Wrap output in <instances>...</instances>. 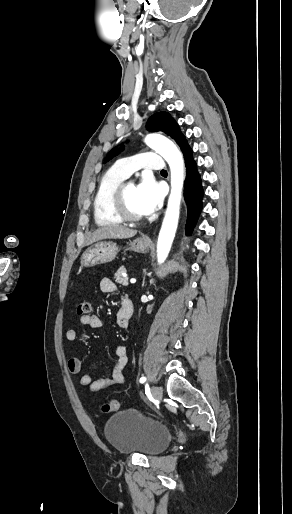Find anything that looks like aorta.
<instances>
[{
  "label": "aorta",
  "instance_id": "aorta-1",
  "mask_svg": "<svg viewBox=\"0 0 292 514\" xmlns=\"http://www.w3.org/2000/svg\"><path fill=\"white\" fill-rule=\"evenodd\" d=\"M144 142L151 150H155L156 154H160V156L166 160L171 172V194L157 242L158 262L159 264H163L171 250L178 226L184 182V164L178 148H176L171 140L165 138V136L148 134Z\"/></svg>",
  "mask_w": 292,
  "mask_h": 514
}]
</instances>
